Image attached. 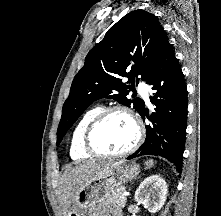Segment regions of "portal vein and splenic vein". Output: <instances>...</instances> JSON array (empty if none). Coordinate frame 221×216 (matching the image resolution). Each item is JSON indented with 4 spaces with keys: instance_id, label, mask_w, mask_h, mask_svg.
<instances>
[{
    "instance_id": "1",
    "label": "portal vein and splenic vein",
    "mask_w": 221,
    "mask_h": 216,
    "mask_svg": "<svg viewBox=\"0 0 221 216\" xmlns=\"http://www.w3.org/2000/svg\"><path fill=\"white\" fill-rule=\"evenodd\" d=\"M123 195H124V196H127V195H128V193H127L126 191H124V192H123Z\"/></svg>"
}]
</instances>
